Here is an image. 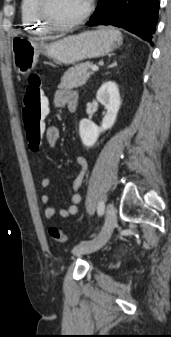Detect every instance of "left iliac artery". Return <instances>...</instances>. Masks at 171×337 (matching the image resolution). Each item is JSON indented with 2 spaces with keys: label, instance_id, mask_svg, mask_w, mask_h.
Returning <instances> with one entry per match:
<instances>
[{
  "label": "left iliac artery",
  "instance_id": "obj_1",
  "mask_svg": "<svg viewBox=\"0 0 171 337\" xmlns=\"http://www.w3.org/2000/svg\"><path fill=\"white\" fill-rule=\"evenodd\" d=\"M104 207H105L104 202L101 201V202L98 204V208H97V213H98V215H100V216L103 215V213H104Z\"/></svg>",
  "mask_w": 171,
  "mask_h": 337
}]
</instances>
